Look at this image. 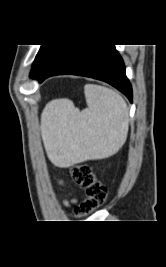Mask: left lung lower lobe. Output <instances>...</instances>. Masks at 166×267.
<instances>
[{
    "label": "left lung lower lobe",
    "mask_w": 166,
    "mask_h": 267,
    "mask_svg": "<svg viewBox=\"0 0 166 267\" xmlns=\"http://www.w3.org/2000/svg\"><path fill=\"white\" fill-rule=\"evenodd\" d=\"M63 74L107 82L132 102V87L125 74L124 62L114 45H56L32 78L42 82L50 76Z\"/></svg>",
    "instance_id": "left-lung-lower-lobe-1"
}]
</instances>
